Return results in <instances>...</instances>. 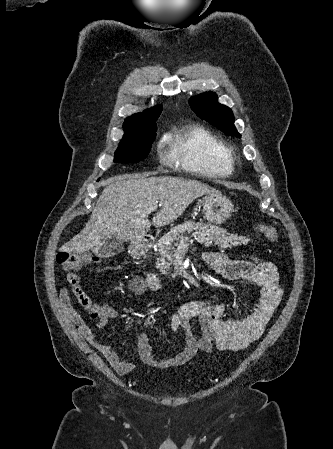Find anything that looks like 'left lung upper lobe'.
<instances>
[{"label": "left lung upper lobe", "instance_id": "obj_1", "mask_svg": "<svg viewBox=\"0 0 333 449\" xmlns=\"http://www.w3.org/2000/svg\"><path fill=\"white\" fill-rule=\"evenodd\" d=\"M192 110L218 129L228 135L240 137L234 126V116L232 110L225 105L218 103L217 95L212 92L203 93L190 99Z\"/></svg>", "mask_w": 333, "mask_h": 449}]
</instances>
